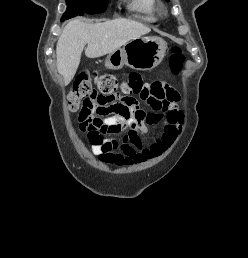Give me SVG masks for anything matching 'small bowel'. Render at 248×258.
I'll list each match as a JSON object with an SVG mask.
<instances>
[{
	"label": "small bowel",
	"instance_id": "small-bowel-1",
	"mask_svg": "<svg viewBox=\"0 0 248 258\" xmlns=\"http://www.w3.org/2000/svg\"><path fill=\"white\" fill-rule=\"evenodd\" d=\"M152 85L156 91L151 94L149 89H146L147 95L142 98L150 111L141 109L136 99L128 97L122 100V106L129 111L128 118L115 115L103 122L107 127H114L109 132L119 133L127 130L129 137L122 142L114 139L92 142V151L102 163L117 166L143 163L161 157L175 143L184 122L176 104L179 95L163 82L155 81ZM80 122L84 131L89 125L84 110L80 113ZM147 126L154 127L157 132L150 143L142 139L149 133Z\"/></svg>",
	"mask_w": 248,
	"mask_h": 258
}]
</instances>
